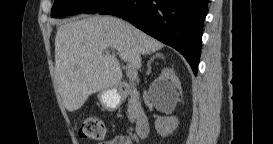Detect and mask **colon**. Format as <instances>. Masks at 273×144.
<instances>
[{"mask_svg": "<svg viewBox=\"0 0 273 144\" xmlns=\"http://www.w3.org/2000/svg\"><path fill=\"white\" fill-rule=\"evenodd\" d=\"M105 133L106 128L103 120L94 115L86 117L79 127V136L83 139L102 140Z\"/></svg>", "mask_w": 273, "mask_h": 144, "instance_id": "obj_1", "label": "colon"}]
</instances>
